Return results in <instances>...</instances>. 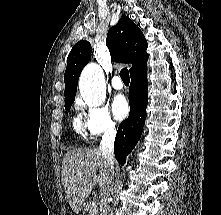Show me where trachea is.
I'll list each match as a JSON object with an SVG mask.
<instances>
[{
	"label": "trachea",
	"instance_id": "trachea-1",
	"mask_svg": "<svg viewBox=\"0 0 221 215\" xmlns=\"http://www.w3.org/2000/svg\"><path fill=\"white\" fill-rule=\"evenodd\" d=\"M120 77H121V79L124 83H129L130 82L129 71L127 70V68H123L120 71Z\"/></svg>",
	"mask_w": 221,
	"mask_h": 215
}]
</instances>
